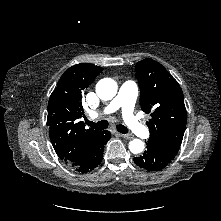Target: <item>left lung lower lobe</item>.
Listing matches in <instances>:
<instances>
[{"label":"left lung lower lobe","mask_w":221,"mask_h":221,"mask_svg":"<svg viewBox=\"0 0 221 221\" xmlns=\"http://www.w3.org/2000/svg\"><path fill=\"white\" fill-rule=\"evenodd\" d=\"M173 158L167 156L147 145V150L143 155L134 157V162L141 168L148 171H159L165 168Z\"/></svg>","instance_id":"0a47b994"}]
</instances>
